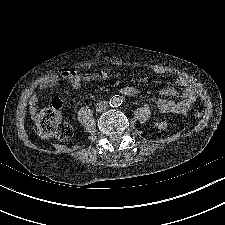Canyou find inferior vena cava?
I'll use <instances>...</instances> for the list:
<instances>
[{"mask_svg":"<svg viewBox=\"0 0 225 225\" xmlns=\"http://www.w3.org/2000/svg\"><path fill=\"white\" fill-rule=\"evenodd\" d=\"M108 108V102L107 101H100L96 104V111L98 112H104Z\"/></svg>","mask_w":225,"mask_h":225,"instance_id":"1","label":"inferior vena cava"}]
</instances>
